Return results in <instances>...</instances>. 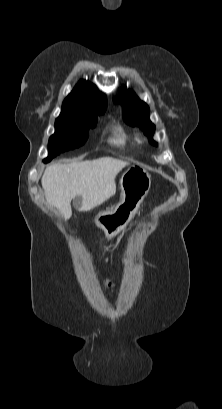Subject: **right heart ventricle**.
<instances>
[{
	"instance_id": "right-heart-ventricle-1",
	"label": "right heart ventricle",
	"mask_w": 222,
	"mask_h": 409,
	"mask_svg": "<svg viewBox=\"0 0 222 409\" xmlns=\"http://www.w3.org/2000/svg\"><path fill=\"white\" fill-rule=\"evenodd\" d=\"M124 140H125L124 134L122 133V131L118 130L114 142L116 144H123Z\"/></svg>"
}]
</instances>
